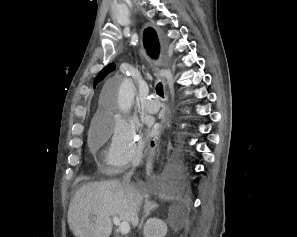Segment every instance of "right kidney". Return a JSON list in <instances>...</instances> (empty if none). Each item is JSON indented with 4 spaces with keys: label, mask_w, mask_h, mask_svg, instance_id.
I'll return each instance as SVG.
<instances>
[{
    "label": "right kidney",
    "mask_w": 297,
    "mask_h": 237,
    "mask_svg": "<svg viewBox=\"0 0 297 237\" xmlns=\"http://www.w3.org/2000/svg\"><path fill=\"white\" fill-rule=\"evenodd\" d=\"M144 237H164L167 234V224L159 218H150L143 229Z\"/></svg>",
    "instance_id": "right-kidney-1"
}]
</instances>
